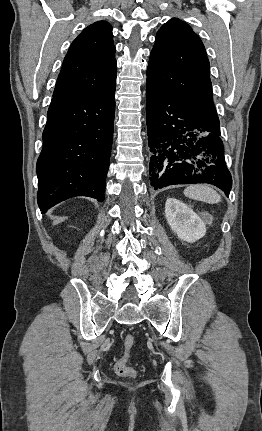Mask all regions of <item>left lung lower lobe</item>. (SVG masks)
Instances as JSON below:
<instances>
[{"instance_id": "1", "label": "left lung lower lobe", "mask_w": 262, "mask_h": 431, "mask_svg": "<svg viewBox=\"0 0 262 431\" xmlns=\"http://www.w3.org/2000/svg\"><path fill=\"white\" fill-rule=\"evenodd\" d=\"M146 120L153 189L207 183L229 195L232 177L218 124L204 122L190 107L150 83Z\"/></svg>"}]
</instances>
